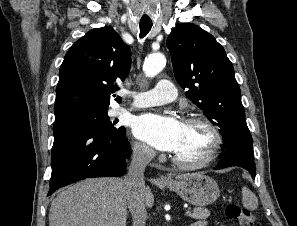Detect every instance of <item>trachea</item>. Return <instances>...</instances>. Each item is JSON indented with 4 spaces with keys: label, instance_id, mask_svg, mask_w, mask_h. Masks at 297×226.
I'll return each instance as SVG.
<instances>
[{
    "label": "trachea",
    "instance_id": "1",
    "mask_svg": "<svg viewBox=\"0 0 297 226\" xmlns=\"http://www.w3.org/2000/svg\"><path fill=\"white\" fill-rule=\"evenodd\" d=\"M152 22H140V37H145L151 30Z\"/></svg>",
    "mask_w": 297,
    "mask_h": 226
}]
</instances>
